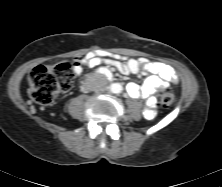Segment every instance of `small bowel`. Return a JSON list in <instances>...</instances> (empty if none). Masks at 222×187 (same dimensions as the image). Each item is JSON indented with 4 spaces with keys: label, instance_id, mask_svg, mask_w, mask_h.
Returning <instances> with one entry per match:
<instances>
[{
    "label": "small bowel",
    "instance_id": "small-bowel-1",
    "mask_svg": "<svg viewBox=\"0 0 222 187\" xmlns=\"http://www.w3.org/2000/svg\"><path fill=\"white\" fill-rule=\"evenodd\" d=\"M106 65L121 74H135L146 77L141 85L129 83L127 92L133 98H141L145 101L144 114L147 118L156 116V97L158 90H164L170 83L177 84L178 76L175 70L168 64L149 61L145 58L127 59L119 55H107L102 52H91L74 61V72L80 74L83 67L95 68Z\"/></svg>",
    "mask_w": 222,
    "mask_h": 187
}]
</instances>
